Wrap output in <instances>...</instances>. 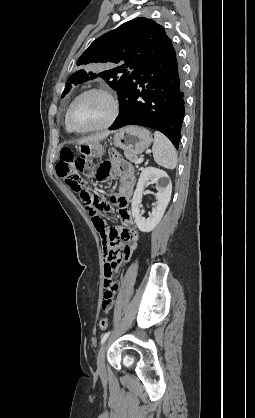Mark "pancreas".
<instances>
[{
    "label": "pancreas",
    "mask_w": 255,
    "mask_h": 418,
    "mask_svg": "<svg viewBox=\"0 0 255 418\" xmlns=\"http://www.w3.org/2000/svg\"><path fill=\"white\" fill-rule=\"evenodd\" d=\"M125 157L130 161V162H136V160L138 159L137 155L128 153V152H124Z\"/></svg>",
    "instance_id": "1"
}]
</instances>
